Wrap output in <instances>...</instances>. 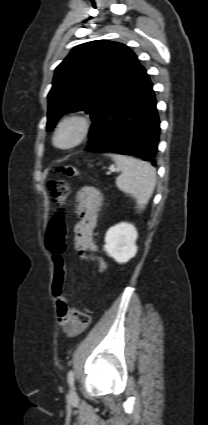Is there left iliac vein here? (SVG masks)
Returning <instances> with one entry per match:
<instances>
[{
  "label": "left iliac vein",
  "instance_id": "1",
  "mask_svg": "<svg viewBox=\"0 0 208 425\" xmlns=\"http://www.w3.org/2000/svg\"><path fill=\"white\" fill-rule=\"evenodd\" d=\"M70 397H71L72 399L77 397V394H76V392H75V390H74V389H72V390L70 391Z\"/></svg>",
  "mask_w": 208,
  "mask_h": 425
}]
</instances>
